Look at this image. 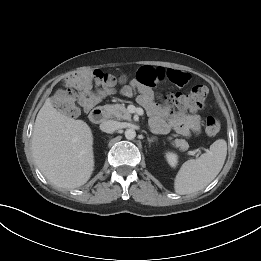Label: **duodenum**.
<instances>
[{
  "label": "duodenum",
  "instance_id": "1",
  "mask_svg": "<svg viewBox=\"0 0 261 261\" xmlns=\"http://www.w3.org/2000/svg\"><path fill=\"white\" fill-rule=\"evenodd\" d=\"M89 119L91 122L95 124H99L104 121L105 119V110L104 108L98 106L91 110L89 114Z\"/></svg>",
  "mask_w": 261,
  "mask_h": 261
}]
</instances>
